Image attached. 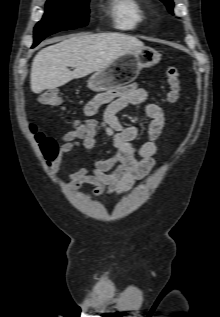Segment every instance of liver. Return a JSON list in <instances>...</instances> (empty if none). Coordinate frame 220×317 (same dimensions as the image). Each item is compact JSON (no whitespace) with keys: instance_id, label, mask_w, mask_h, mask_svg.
Instances as JSON below:
<instances>
[{"instance_id":"1","label":"liver","mask_w":220,"mask_h":317,"mask_svg":"<svg viewBox=\"0 0 220 317\" xmlns=\"http://www.w3.org/2000/svg\"><path fill=\"white\" fill-rule=\"evenodd\" d=\"M142 48V41L120 33L70 36L36 54L30 73L31 90L40 93L63 86L108 67L125 53ZM68 67L75 69L70 71Z\"/></svg>"}]
</instances>
